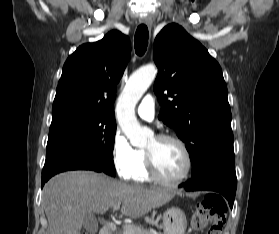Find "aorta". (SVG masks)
<instances>
[{
    "instance_id": "762f6f07",
    "label": "aorta",
    "mask_w": 279,
    "mask_h": 234,
    "mask_svg": "<svg viewBox=\"0 0 279 234\" xmlns=\"http://www.w3.org/2000/svg\"><path fill=\"white\" fill-rule=\"evenodd\" d=\"M156 74L154 65L140 68L130 76L119 98L118 123L131 144L135 146L146 145L152 133L149 129L140 126L135 115V106L155 79Z\"/></svg>"
}]
</instances>
